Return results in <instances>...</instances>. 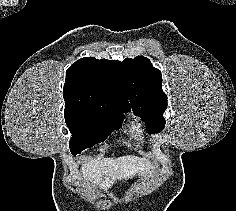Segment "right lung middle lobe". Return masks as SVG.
Segmentation results:
<instances>
[{"mask_svg": "<svg viewBox=\"0 0 236 211\" xmlns=\"http://www.w3.org/2000/svg\"><path fill=\"white\" fill-rule=\"evenodd\" d=\"M126 111L65 110V122L72 133L69 142L73 155L104 141L118 129Z\"/></svg>", "mask_w": 236, "mask_h": 211, "instance_id": "dd1d6c3e", "label": "right lung middle lobe"}]
</instances>
